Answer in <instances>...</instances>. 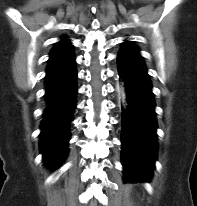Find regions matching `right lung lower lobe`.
Segmentation results:
<instances>
[{"instance_id":"98d812e1","label":"right lung lower lobe","mask_w":197,"mask_h":206,"mask_svg":"<svg viewBox=\"0 0 197 206\" xmlns=\"http://www.w3.org/2000/svg\"><path fill=\"white\" fill-rule=\"evenodd\" d=\"M77 71L75 58L63 72L46 82L47 107L43 113L40 150L46 164L57 168L68 153L70 123L76 107Z\"/></svg>"}]
</instances>
